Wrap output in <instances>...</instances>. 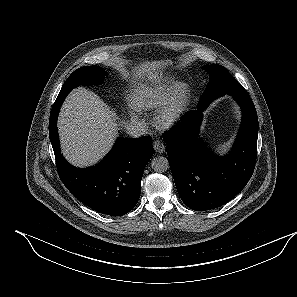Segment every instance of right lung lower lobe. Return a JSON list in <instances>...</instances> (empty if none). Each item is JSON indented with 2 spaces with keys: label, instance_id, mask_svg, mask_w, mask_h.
<instances>
[{
  "label": "right lung lower lobe",
  "instance_id": "obj_1",
  "mask_svg": "<svg viewBox=\"0 0 297 297\" xmlns=\"http://www.w3.org/2000/svg\"><path fill=\"white\" fill-rule=\"evenodd\" d=\"M65 96H58L50 114L49 137L60 179L66 188L93 210L111 216L128 213L141 193L143 171L153 155L149 136L118 138L111 152L97 165L76 168L61 155L57 116Z\"/></svg>",
  "mask_w": 297,
  "mask_h": 297
}]
</instances>
